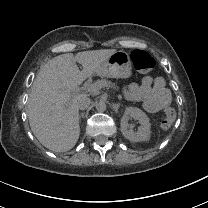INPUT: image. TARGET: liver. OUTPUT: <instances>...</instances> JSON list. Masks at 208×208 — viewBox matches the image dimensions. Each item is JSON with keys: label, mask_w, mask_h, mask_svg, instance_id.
Instances as JSON below:
<instances>
[{"label": "liver", "mask_w": 208, "mask_h": 208, "mask_svg": "<svg viewBox=\"0 0 208 208\" xmlns=\"http://www.w3.org/2000/svg\"><path fill=\"white\" fill-rule=\"evenodd\" d=\"M116 49H97L64 53L41 67L33 82L27 103V116L38 141L53 152H66L77 143L80 135V84L92 77ZM77 63L82 65L81 72Z\"/></svg>", "instance_id": "6515ba94"}]
</instances>
